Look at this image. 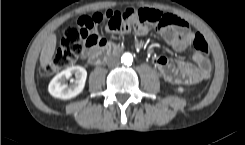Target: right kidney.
Returning a JSON list of instances; mask_svg holds the SVG:
<instances>
[{
    "instance_id": "right-kidney-1",
    "label": "right kidney",
    "mask_w": 245,
    "mask_h": 145,
    "mask_svg": "<svg viewBox=\"0 0 245 145\" xmlns=\"http://www.w3.org/2000/svg\"><path fill=\"white\" fill-rule=\"evenodd\" d=\"M72 75L75 76L71 84H67L66 80ZM87 71L81 66H72L58 73L49 83L48 91L55 97L60 99H71L79 95L85 86Z\"/></svg>"
}]
</instances>
